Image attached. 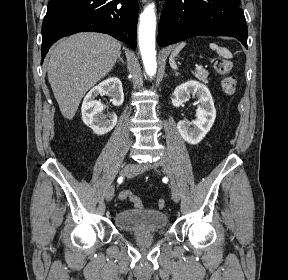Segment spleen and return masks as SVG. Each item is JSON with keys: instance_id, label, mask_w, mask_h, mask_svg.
Returning a JSON list of instances; mask_svg holds the SVG:
<instances>
[{"instance_id": "obj_1", "label": "spleen", "mask_w": 288, "mask_h": 280, "mask_svg": "<svg viewBox=\"0 0 288 280\" xmlns=\"http://www.w3.org/2000/svg\"><path fill=\"white\" fill-rule=\"evenodd\" d=\"M186 43L182 42L179 45H177V47L174 49V51L172 52L170 59H169V63L172 69H177V65L175 62V57L178 55V53L185 47ZM210 48L212 50H216V52L218 53V55L227 58V59H231L232 58V53L225 47H219L217 44L215 43H211L210 44Z\"/></svg>"}]
</instances>
